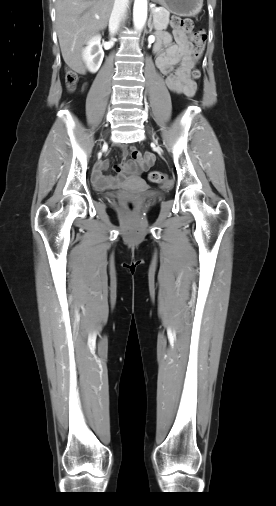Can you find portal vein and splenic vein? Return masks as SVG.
I'll return each instance as SVG.
<instances>
[{"mask_svg":"<svg viewBox=\"0 0 276 506\" xmlns=\"http://www.w3.org/2000/svg\"><path fill=\"white\" fill-rule=\"evenodd\" d=\"M159 9H160V8L155 7V8L153 9V12L159 11Z\"/></svg>","mask_w":276,"mask_h":506,"instance_id":"18ae733b","label":"portal vein and splenic vein"}]
</instances>
